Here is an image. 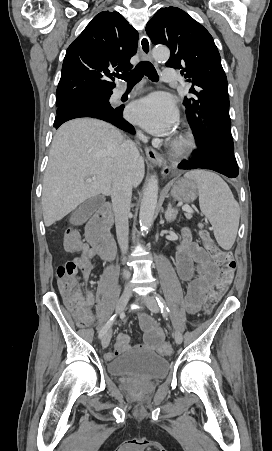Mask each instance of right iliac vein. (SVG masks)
I'll list each match as a JSON object with an SVG mask.
<instances>
[{
    "label": "right iliac vein",
    "mask_w": 272,
    "mask_h": 451,
    "mask_svg": "<svg viewBox=\"0 0 272 451\" xmlns=\"http://www.w3.org/2000/svg\"><path fill=\"white\" fill-rule=\"evenodd\" d=\"M130 296H131V290L129 288H126L117 301L116 313H121L124 310L126 304L128 303V301L130 299ZM110 339H111V330L106 332L102 337L101 343H102L103 348L108 347V345L110 343Z\"/></svg>",
    "instance_id": "63e3f726"
}]
</instances>
